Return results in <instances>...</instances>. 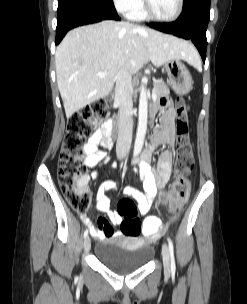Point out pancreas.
<instances>
[{"instance_id": "obj_1", "label": "pancreas", "mask_w": 247, "mask_h": 304, "mask_svg": "<svg viewBox=\"0 0 247 304\" xmlns=\"http://www.w3.org/2000/svg\"><path fill=\"white\" fill-rule=\"evenodd\" d=\"M153 92L156 94V97L160 98L163 96H169L170 90L166 83L162 80L154 81Z\"/></svg>"}]
</instances>
